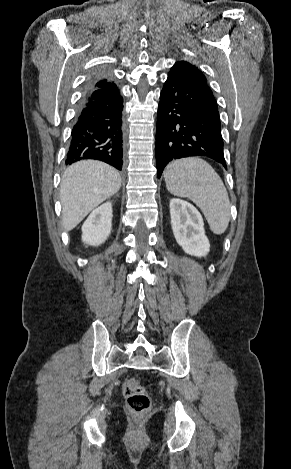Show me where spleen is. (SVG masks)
Returning a JSON list of instances; mask_svg holds the SVG:
<instances>
[{
	"label": "spleen",
	"instance_id": "obj_1",
	"mask_svg": "<svg viewBox=\"0 0 291 469\" xmlns=\"http://www.w3.org/2000/svg\"><path fill=\"white\" fill-rule=\"evenodd\" d=\"M164 179L168 191L189 198L203 212L211 231L221 235L230 221V201L224 183L210 164L198 157L167 165Z\"/></svg>",
	"mask_w": 291,
	"mask_h": 469
}]
</instances>
